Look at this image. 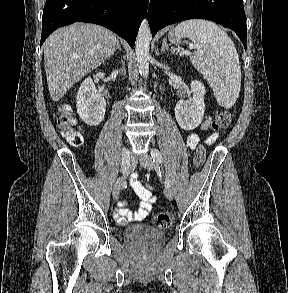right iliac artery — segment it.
<instances>
[{
  "label": "right iliac artery",
  "instance_id": "right-iliac-artery-1",
  "mask_svg": "<svg viewBox=\"0 0 288 293\" xmlns=\"http://www.w3.org/2000/svg\"><path fill=\"white\" fill-rule=\"evenodd\" d=\"M121 164H122V170H129L130 162H129V156H128V148L124 147L121 150Z\"/></svg>",
  "mask_w": 288,
  "mask_h": 293
}]
</instances>
